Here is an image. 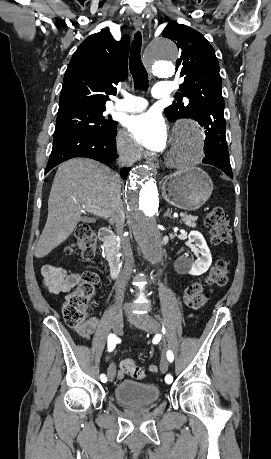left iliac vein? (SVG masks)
Instances as JSON below:
<instances>
[{"label": "left iliac vein", "mask_w": 271, "mask_h": 459, "mask_svg": "<svg viewBox=\"0 0 271 459\" xmlns=\"http://www.w3.org/2000/svg\"><path fill=\"white\" fill-rule=\"evenodd\" d=\"M129 320L134 325L139 326L141 329L145 330L148 333L156 334L160 332L158 321L147 314L139 315V316L130 315ZM167 369H168V360L166 358L165 345H163L162 358L160 361V370L163 373H166Z\"/></svg>", "instance_id": "4c4485c4"}]
</instances>
